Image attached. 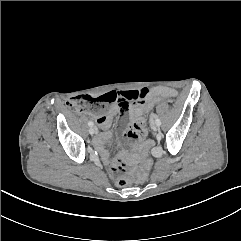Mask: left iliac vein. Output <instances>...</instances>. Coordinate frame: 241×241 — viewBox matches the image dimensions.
<instances>
[{
  "label": "left iliac vein",
  "mask_w": 241,
  "mask_h": 241,
  "mask_svg": "<svg viewBox=\"0 0 241 241\" xmlns=\"http://www.w3.org/2000/svg\"><path fill=\"white\" fill-rule=\"evenodd\" d=\"M152 128H153L154 131H157V129H158V128H157V124H155V123L152 124Z\"/></svg>",
  "instance_id": "4c4485c4"
}]
</instances>
